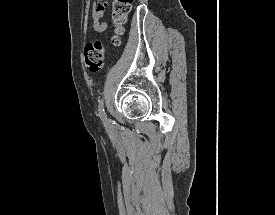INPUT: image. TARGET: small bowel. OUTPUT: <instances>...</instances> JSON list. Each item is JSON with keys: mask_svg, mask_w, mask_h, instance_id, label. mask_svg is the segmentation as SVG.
Wrapping results in <instances>:
<instances>
[{"mask_svg": "<svg viewBox=\"0 0 275 215\" xmlns=\"http://www.w3.org/2000/svg\"><path fill=\"white\" fill-rule=\"evenodd\" d=\"M108 7V0H97V4L92 6L91 15L93 18V30L96 32H104L108 28V24L102 23L100 20L104 16Z\"/></svg>", "mask_w": 275, "mask_h": 215, "instance_id": "1", "label": "small bowel"}]
</instances>
